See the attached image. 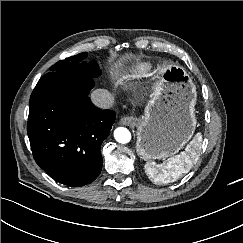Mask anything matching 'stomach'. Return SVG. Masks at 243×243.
Returning <instances> with one entry per match:
<instances>
[{"label": "stomach", "mask_w": 243, "mask_h": 243, "mask_svg": "<svg viewBox=\"0 0 243 243\" xmlns=\"http://www.w3.org/2000/svg\"><path fill=\"white\" fill-rule=\"evenodd\" d=\"M196 87L185 69L163 64L154 79L144 116L136 119V151L144 160L178 153L196 127Z\"/></svg>", "instance_id": "obj_1"}]
</instances>
